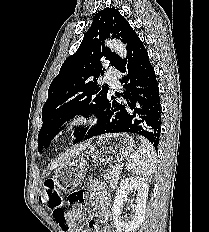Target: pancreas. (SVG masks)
<instances>
[{
  "label": "pancreas",
  "mask_w": 209,
  "mask_h": 232,
  "mask_svg": "<svg viewBox=\"0 0 209 232\" xmlns=\"http://www.w3.org/2000/svg\"><path fill=\"white\" fill-rule=\"evenodd\" d=\"M120 173H121L120 168L113 169V167H112V168L108 169L107 174L104 175V179L109 184V187L111 190H114L117 187Z\"/></svg>",
  "instance_id": "obj_1"
}]
</instances>
